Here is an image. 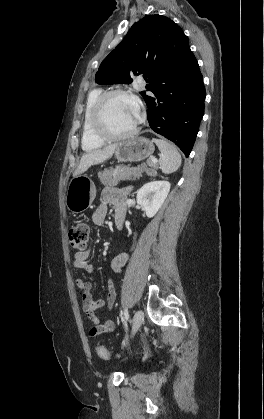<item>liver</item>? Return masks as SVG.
I'll list each match as a JSON object with an SVG mask.
<instances>
[{
    "label": "liver",
    "mask_w": 264,
    "mask_h": 419,
    "mask_svg": "<svg viewBox=\"0 0 264 419\" xmlns=\"http://www.w3.org/2000/svg\"><path fill=\"white\" fill-rule=\"evenodd\" d=\"M116 148L117 144H111L109 146L104 147L103 149H97L83 154L73 176H78L84 173L92 165L100 164L108 160L112 157Z\"/></svg>",
    "instance_id": "6515ba94"
}]
</instances>
